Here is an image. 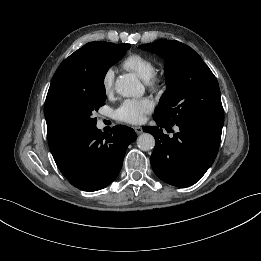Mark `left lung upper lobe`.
I'll use <instances>...</instances> for the list:
<instances>
[{
    "label": "left lung upper lobe",
    "mask_w": 261,
    "mask_h": 261,
    "mask_svg": "<svg viewBox=\"0 0 261 261\" xmlns=\"http://www.w3.org/2000/svg\"><path fill=\"white\" fill-rule=\"evenodd\" d=\"M165 60L167 89L154 119L166 125L224 121L218 82L201 57L178 41L160 40L139 46Z\"/></svg>",
    "instance_id": "1"
}]
</instances>
